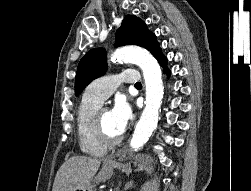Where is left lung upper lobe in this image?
<instances>
[{
    "label": "left lung upper lobe",
    "instance_id": "1",
    "mask_svg": "<svg viewBox=\"0 0 251 191\" xmlns=\"http://www.w3.org/2000/svg\"><path fill=\"white\" fill-rule=\"evenodd\" d=\"M130 44L146 48L155 58L161 54L156 36L147 29L146 24L136 16L126 15L116 33V46ZM106 70L105 50L101 48L90 50L79 62L75 95H79L92 80L102 76Z\"/></svg>",
    "mask_w": 251,
    "mask_h": 191
}]
</instances>
